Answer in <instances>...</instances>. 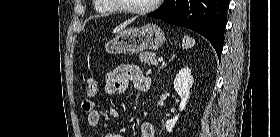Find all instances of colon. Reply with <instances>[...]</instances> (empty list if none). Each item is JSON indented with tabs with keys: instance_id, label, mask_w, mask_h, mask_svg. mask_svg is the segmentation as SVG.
<instances>
[{
	"instance_id": "1",
	"label": "colon",
	"mask_w": 280,
	"mask_h": 137,
	"mask_svg": "<svg viewBox=\"0 0 280 137\" xmlns=\"http://www.w3.org/2000/svg\"><path fill=\"white\" fill-rule=\"evenodd\" d=\"M98 91V82L94 78H89L85 83V92L88 95H95Z\"/></svg>"
}]
</instances>
